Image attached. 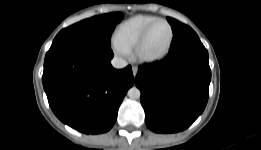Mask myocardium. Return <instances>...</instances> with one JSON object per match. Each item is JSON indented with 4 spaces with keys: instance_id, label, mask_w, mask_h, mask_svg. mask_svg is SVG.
Returning a JSON list of instances; mask_svg holds the SVG:
<instances>
[{
    "instance_id": "1",
    "label": "myocardium",
    "mask_w": 261,
    "mask_h": 150,
    "mask_svg": "<svg viewBox=\"0 0 261 150\" xmlns=\"http://www.w3.org/2000/svg\"><path fill=\"white\" fill-rule=\"evenodd\" d=\"M160 22L167 24V26L169 27L170 35H169V40H168L167 46L162 53L155 55V56H147L143 53V47L145 45V42H146L148 35H149L150 31L152 30V28ZM173 40H174V30H173V26L171 25V23L166 19L158 18L157 20L150 23L141 33L140 37L138 38V40L134 46V57L140 63H144V64L158 63V62L162 61L163 59H165L167 57V55L169 54L172 44H173Z\"/></svg>"
}]
</instances>
